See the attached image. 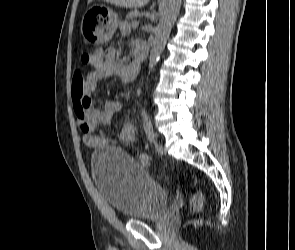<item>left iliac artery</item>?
Instances as JSON below:
<instances>
[{"label": "left iliac artery", "mask_w": 295, "mask_h": 250, "mask_svg": "<svg viewBox=\"0 0 295 250\" xmlns=\"http://www.w3.org/2000/svg\"><path fill=\"white\" fill-rule=\"evenodd\" d=\"M142 120H143V126L145 133L147 135V138L150 143L154 142L155 134L153 131L152 123L149 117V114L147 113L146 109L143 108L141 112Z\"/></svg>", "instance_id": "1"}]
</instances>
